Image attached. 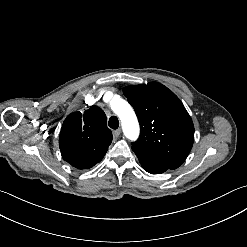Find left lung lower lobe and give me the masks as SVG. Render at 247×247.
Returning <instances> with one entry per match:
<instances>
[{"instance_id": "left-lung-lower-lobe-1", "label": "left lung lower lobe", "mask_w": 247, "mask_h": 247, "mask_svg": "<svg viewBox=\"0 0 247 247\" xmlns=\"http://www.w3.org/2000/svg\"><path fill=\"white\" fill-rule=\"evenodd\" d=\"M137 157H138L143 169L146 170L147 172L151 173V174H160V173H163V172L169 170L168 168H165L161 165H158V164L146 159L145 157H142V156H137Z\"/></svg>"}]
</instances>
